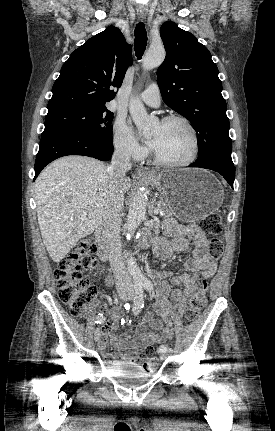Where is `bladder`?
<instances>
[{"mask_svg": "<svg viewBox=\"0 0 275 431\" xmlns=\"http://www.w3.org/2000/svg\"><path fill=\"white\" fill-rule=\"evenodd\" d=\"M107 371L109 375L116 382L122 383L128 379H149L153 373L143 368L140 365L126 363V362H114L111 360L105 361Z\"/></svg>", "mask_w": 275, "mask_h": 431, "instance_id": "31cf9c89", "label": "bladder"}]
</instances>
